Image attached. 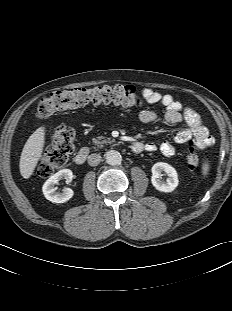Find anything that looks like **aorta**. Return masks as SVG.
<instances>
[{
	"label": "aorta",
	"mask_w": 232,
	"mask_h": 311,
	"mask_svg": "<svg viewBox=\"0 0 232 311\" xmlns=\"http://www.w3.org/2000/svg\"><path fill=\"white\" fill-rule=\"evenodd\" d=\"M106 162L109 165H119L122 161L120 153L116 150H109L105 153Z\"/></svg>",
	"instance_id": "762f6f07"
}]
</instances>
